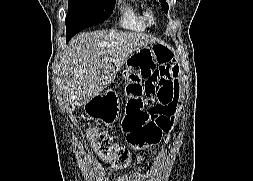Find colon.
Masks as SVG:
<instances>
[{
  "label": "colon",
  "instance_id": "5ec220e1",
  "mask_svg": "<svg viewBox=\"0 0 253 181\" xmlns=\"http://www.w3.org/2000/svg\"><path fill=\"white\" fill-rule=\"evenodd\" d=\"M152 48H139V53H147L161 65L172 63V55L164 44H153ZM125 78L121 90L125 97L122 130L131 146L143 148L156 145L163 140L173 121L168 114L167 100L160 94L146 93L141 84L142 75L132 66L126 70ZM88 136L106 162L117 168L126 165L127 149L114 142L109 135L89 130Z\"/></svg>",
  "mask_w": 253,
  "mask_h": 181
}]
</instances>
